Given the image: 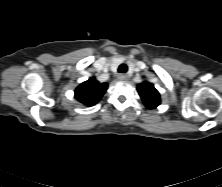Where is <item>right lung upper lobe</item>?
<instances>
[{
	"mask_svg": "<svg viewBox=\"0 0 222 187\" xmlns=\"http://www.w3.org/2000/svg\"><path fill=\"white\" fill-rule=\"evenodd\" d=\"M107 87V83H100L92 77L76 88L75 98L86 106H93L101 99Z\"/></svg>",
	"mask_w": 222,
	"mask_h": 187,
	"instance_id": "right-lung-upper-lobe-1",
	"label": "right lung upper lobe"
}]
</instances>
